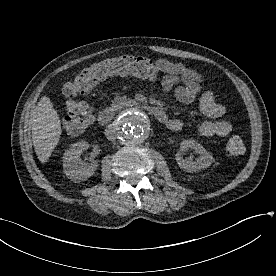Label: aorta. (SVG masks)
<instances>
[{"label": "aorta", "instance_id": "aorta-1", "mask_svg": "<svg viewBox=\"0 0 276 276\" xmlns=\"http://www.w3.org/2000/svg\"><path fill=\"white\" fill-rule=\"evenodd\" d=\"M149 131L146 114L138 108L124 112L118 121L117 135L124 144L135 145L143 142Z\"/></svg>", "mask_w": 276, "mask_h": 276}]
</instances>
